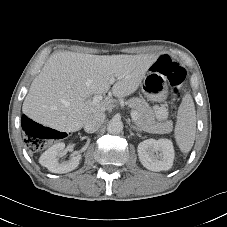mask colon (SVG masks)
I'll return each instance as SVG.
<instances>
[{"label": "colon", "instance_id": "5ec220e1", "mask_svg": "<svg viewBox=\"0 0 227 227\" xmlns=\"http://www.w3.org/2000/svg\"><path fill=\"white\" fill-rule=\"evenodd\" d=\"M152 70L164 75L171 85L173 94H178L180 86L186 78V70L180 64L173 61L169 56L162 55L153 64ZM25 131L28 135V146L32 150L42 148L45 140L55 138L54 130L43 127L33 121L25 123Z\"/></svg>", "mask_w": 227, "mask_h": 227}]
</instances>
